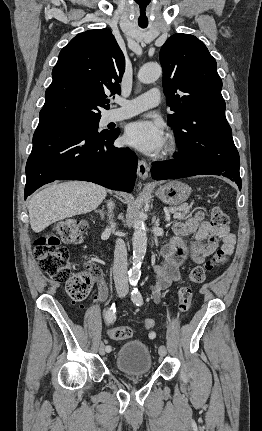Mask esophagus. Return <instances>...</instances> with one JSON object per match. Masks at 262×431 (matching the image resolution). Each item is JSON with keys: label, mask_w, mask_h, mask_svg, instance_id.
Returning a JSON list of instances; mask_svg holds the SVG:
<instances>
[{"label": "esophagus", "mask_w": 262, "mask_h": 431, "mask_svg": "<svg viewBox=\"0 0 262 431\" xmlns=\"http://www.w3.org/2000/svg\"><path fill=\"white\" fill-rule=\"evenodd\" d=\"M149 173V166L144 160L138 161V167H137V175L140 179L145 180L148 177ZM147 186H152L151 183H148Z\"/></svg>", "instance_id": "1"}]
</instances>
